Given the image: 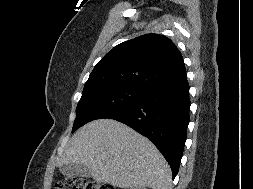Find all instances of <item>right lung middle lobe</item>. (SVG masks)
Masks as SVG:
<instances>
[{"instance_id": "dd1d6c3e", "label": "right lung middle lobe", "mask_w": 253, "mask_h": 189, "mask_svg": "<svg viewBox=\"0 0 253 189\" xmlns=\"http://www.w3.org/2000/svg\"><path fill=\"white\" fill-rule=\"evenodd\" d=\"M146 93V90L125 86H107L83 92L77 105L72 133L90 121L105 118L133 105Z\"/></svg>"}]
</instances>
